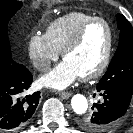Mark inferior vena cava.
I'll return each mask as SVG.
<instances>
[{"label": "inferior vena cava", "instance_id": "602c4592", "mask_svg": "<svg viewBox=\"0 0 133 133\" xmlns=\"http://www.w3.org/2000/svg\"><path fill=\"white\" fill-rule=\"evenodd\" d=\"M35 66L40 71H47L50 69V61L48 59L42 58L35 62Z\"/></svg>", "mask_w": 133, "mask_h": 133}]
</instances>
